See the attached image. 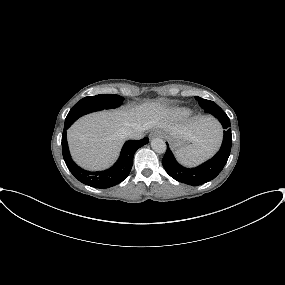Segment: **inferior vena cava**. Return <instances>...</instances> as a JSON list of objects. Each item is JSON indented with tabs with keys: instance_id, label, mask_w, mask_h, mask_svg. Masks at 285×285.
Wrapping results in <instances>:
<instances>
[{
	"instance_id": "obj_1",
	"label": "inferior vena cava",
	"mask_w": 285,
	"mask_h": 285,
	"mask_svg": "<svg viewBox=\"0 0 285 285\" xmlns=\"http://www.w3.org/2000/svg\"><path fill=\"white\" fill-rule=\"evenodd\" d=\"M145 129L143 127L129 128L124 131L125 138L139 140L143 138Z\"/></svg>"
}]
</instances>
